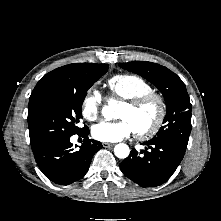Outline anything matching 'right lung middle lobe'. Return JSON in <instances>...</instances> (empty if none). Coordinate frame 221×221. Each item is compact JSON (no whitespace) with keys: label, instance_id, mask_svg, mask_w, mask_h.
Instances as JSON below:
<instances>
[{"label":"right lung middle lobe","instance_id":"dd1d6c3e","mask_svg":"<svg viewBox=\"0 0 221 221\" xmlns=\"http://www.w3.org/2000/svg\"><path fill=\"white\" fill-rule=\"evenodd\" d=\"M108 64L83 67L74 80L55 88L28 111V126L32 150L62 137L72 136L82 118V103L88 89L108 71Z\"/></svg>","mask_w":221,"mask_h":221}]
</instances>
